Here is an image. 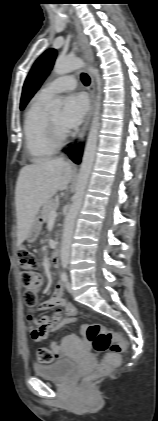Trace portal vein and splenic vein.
Returning a JSON list of instances; mask_svg holds the SVG:
<instances>
[{"mask_svg":"<svg viewBox=\"0 0 158 421\" xmlns=\"http://www.w3.org/2000/svg\"><path fill=\"white\" fill-rule=\"evenodd\" d=\"M57 217V212H56V209L55 210H52L51 212H50V218L51 219H55Z\"/></svg>","mask_w":158,"mask_h":421,"instance_id":"obj_1","label":"portal vein and splenic vein"}]
</instances>
